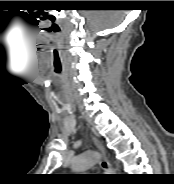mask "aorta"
I'll return each instance as SVG.
<instances>
[{"mask_svg":"<svg viewBox=\"0 0 174 184\" xmlns=\"http://www.w3.org/2000/svg\"><path fill=\"white\" fill-rule=\"evenodd\" d=\"M98 159V154L96 152H87L83 155L76 157L72 161L71 168L74 172H82L90 168Z\"/></svg>","mask_w":174,"mask_h":184,"instance_id":"1","label":"aorta"}]
</instances>
